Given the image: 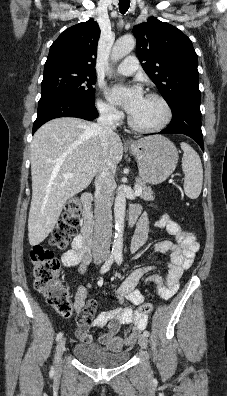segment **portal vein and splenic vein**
<instances>
[{
    "label": "portal vein and splenic vein",
    "mask_w": 227,
    "mask_h": 396,
    "mask_svg": "<svg viewBox=\"0 0 227 396\" xmlns=\"http://www.w3.org/2000/svg\"><path fill=\"white\" fill-rule=\"evenodd\" d=\"M64 176H65L66 178H72V177L74 176V174H73V173H66ZM134 189H135V195H136V196H139V195L142 194V190L139 189L137 186H135Z\"/></svg>",
    "instance_id": "1"
}]
</instances>
